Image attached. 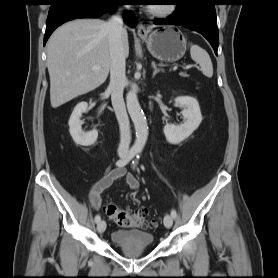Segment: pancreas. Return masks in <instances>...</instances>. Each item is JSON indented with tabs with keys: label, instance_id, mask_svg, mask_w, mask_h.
I'll use <instances>...</instances> for the list:
<instances>
[{
	"label": "pancreas",
	"instance_id": "pancreas-1",
	"mask_svg": "<svg viewBox=\"0 0 278 278\" xmlns=\"http://www.w3.org/2000/svg\"><path fill=\"white\" fill-rule=\"evenodd\" d=\"M183 77H187L188 75L187 74H185V73H183V74H181Z\"/></svg>",
	"mask_w": 278,
	"mask_h": 278
}]
</instances>
